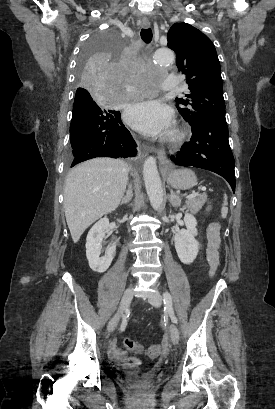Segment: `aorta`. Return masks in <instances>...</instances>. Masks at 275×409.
<instances>
[{
	"label": "aorta",
	"instance_id": "aorta-1",
	"mask_svg": "<svg viewBox=\"0 0 275 409\" xmlns=\"http://www.w3.org/2000/svg\"><path fill=\"white\" fill-rule=\"evenodd\" d=\"M175 56L172 50L160 48L159 51H150L149 59L154 65L168 64L173 62ZM144 182L153 209H160L163 202L162 182L157 170L156 158L148 156L143 164Z\"/></svg>",
	"mask_w": 275,
	"mask_h": 409
}]
</instances>
